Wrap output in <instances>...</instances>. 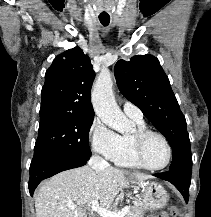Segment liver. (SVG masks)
I'll return each mask as SVG.
<instances>
[{
    "label": "liver",
    "instance_id": "1",
    "mask_svg": "<svg viewBox=\"0 0 211 217\" xmlns=\"http://www.w3.org/2000/svg\"><path fill=\"white\" fill-rule=\"evenodd\" d=\"M132 178L145 181L153 177L136 172ZM130 182L125 171L111 166L98 173L90 165L61 172L36 192V217H88L86 208L93 201H99L102 208L108 209L119 191ZM89 217L93 216L89 214Z\"/></svg>",
    "mask_w": 211,
    "mask_h": 217
}]
</instances>
